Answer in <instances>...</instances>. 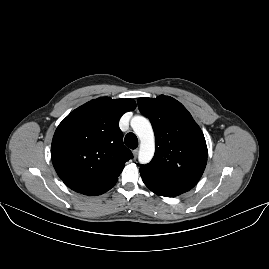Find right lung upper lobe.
<instances>
[{"label": "right lung upper lobe", "mask_w": 269, "mask_h": 269, "mask_svg": "<svg viewBox=\"0 0 269 269\" xmlns=\"http://www.w3.org/2000/svg\"><path fill=\"white\" fill-rule=\"evenodd\" d=\"M136 108L132 99L100 97L71 112L57 127L51 158L62 181L84 193L115 184L133 158L123 144L120 117Z\"/></svg>", "instance_id": "cb5924a9"}]
</instances>
